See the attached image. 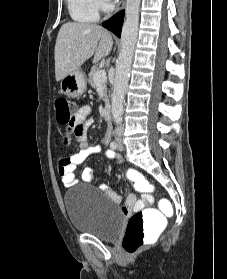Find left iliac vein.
Instances as JSON below:
<instances>
[{"label": "left iliac vein", "mask_w": 227, "mask_h": 279, "mask_svg": "<svg viewBox=\"0 0 227 279\" xmlns=\"http://www.w3.org/2000/svg\"><path fill=\"white\" fill-rule=\"evenodd\" d=\"M118 149H119L120 151H122V150L124 149V145H123L121 139H119V142H118Z\"/></svg>", "instance_id": "1"}]
</instances>
